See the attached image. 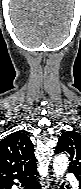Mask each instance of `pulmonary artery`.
Segmentation results:
<instances>
[{
    "label": "pulmonary artery",
    "instance_id": "pulmonary-artery-1",
    "mask_svg": "<svg viewBox=\"0 0 81 189\" xmlns=\"http://www.w3.org/2000/svg\"><path fill=\"white\" fill-rule=\"evenodd\" d=\"M69 180L71 181L72 186L77 189L78 182H77L76 178L74 176L70 175Z\"/></svg>",
    "mask_w": 81,
    "mask_h": 189
}]
</instances>
